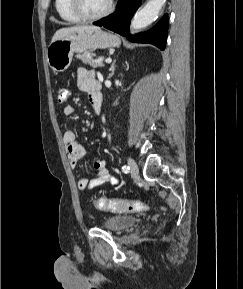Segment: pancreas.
Segmentation results:
<instances>
[{"label":"pancreas","mask_w":243,"mask_h":289,"mask_svg":"<svg viewBox=\"0 0 243 289\" xmlns=\"http://www.w3.org/2000/svg\"><path fill=\"white\" fill-rule=\"evenodd\" d=\"M95 54L90 53L89 51H85L82 54H78L77 58L80 59L84 64L90 65L93 68L103 67L104 64L102 63L103 57H99L98 59H93Z\"/></svg>","instance_id":"pancreas-1"}]
</instances>
